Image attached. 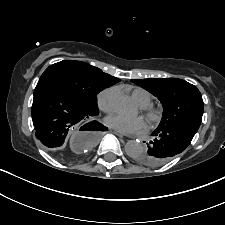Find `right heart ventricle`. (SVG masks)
I'll return each instance as SVG.
<instances>
[{"label":"right heart ventricle","instance_id":"right-heart-ventricle-1","mask_svg":"<svg viewBox=\"0 0 225 225\" xmlns=\"http://www.w3.org/2000/svg\"><path fill=\"white\" fill-rule=\"evenodd\" d=\"M131 96L140 106H148L152 102L151 94L142 88H134L131 91Z\"/></svg>","mask_w":225,"mask_h":225}]
</instances>
